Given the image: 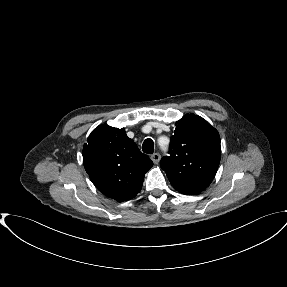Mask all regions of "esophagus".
<instances>
[{"instance_id": "34e87169", "label": "esophagus", "mask_w": 287, "mask_h": 287, "mask_svg": "<svg viewBox=\"0 0 287 287\" xmlns=\"http://www.w3.org/2000/svg\"><path fill=\"white\" fill-rule=\"evenodd\" d=\"M160 154L154 153L151 155V160L154 162V164H158L160 161Z\"/></svg>"}]
</instances>
